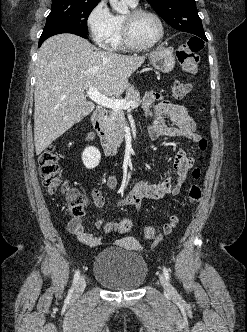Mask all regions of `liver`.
Returning <instances> with one entry per match:
<instances>
[{"mask_svg": "<svg viewBox=\"0 0 247 332\" xmlns=\"http://www.w3.org/2000/svg\"><path fill=\"white\" fill-rule=\"evenodd\" d=\"M144 61L145 56L97 50L74 34L47 39L36 61V154L94 110L95 105L86 100V90L93 86L105 96L119 97L129 86L128 78Z\"/></svg>", "mask_w": 247, "mask_h": 332, "instance_id": "liver-1", "label": "liver"}]
</instances>
